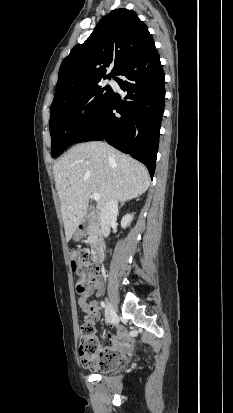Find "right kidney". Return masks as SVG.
I'll return each mask as SVG.
<instances>
[{
    "label": "right kidney",
    "instance_id": "right-kidney-1",
    "mask_svg": "<svg viewBox=\"0 0 233 413\" xmlns=\"http://www.w3.org/2000/svg\"><path fill=\"white\" fill-rule=\"evenodd\" d=\"M133 214H126L121 220V227L126 228L133 220Z\"/></svg>",
    "mask_w": 233,
    "mask_h": 413
}]
</instances>
